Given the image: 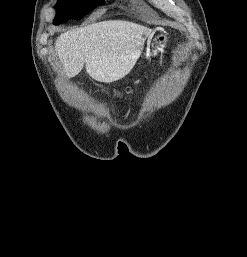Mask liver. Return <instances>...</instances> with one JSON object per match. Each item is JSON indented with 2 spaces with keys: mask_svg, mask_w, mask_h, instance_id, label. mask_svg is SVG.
Returning a JSON list of instances; mask_svg holds the SVG:
<instances>
[{
  "mask_svg": "<svg viewBox=\"0 0 247 257\" xmlns=\"http://www.w3.org/2000/svg\"><path fill=\"white\" fill-rule=\"evenodd\" d=\"M151 35V29L132 22L102 21L62 33L55 50L68 78L85 64L92 79L111 83L130 73Z\"/></svg>",
  "mask_w": 247,
  "mask_h": 257,
  "instance_id": "obj_1",
  "label": "liver"
}]
</instances>
